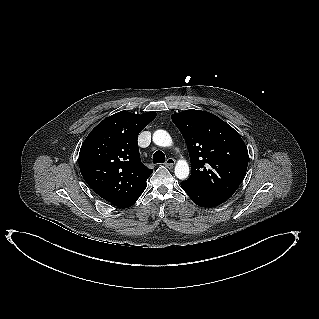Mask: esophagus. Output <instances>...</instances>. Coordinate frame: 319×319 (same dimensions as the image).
I'll list each match as a JSON object with an SVG mask.
<instances>
[{"label": "esophagus", "instance_id": "esophagus-1", "mask_svg": "<svg viewBox=\"0 0 319 319\" xmlns=\"http://www.w3.org/2000/svg\"><path fill=\"white\" fill-rule=\"evenodd\" d=\"M165 165L168 167H172L175 165V160L173 158L169 157L166 159Z\"/></svg>", "mask_w": 319, "mask_h": 319}]
</instances>
